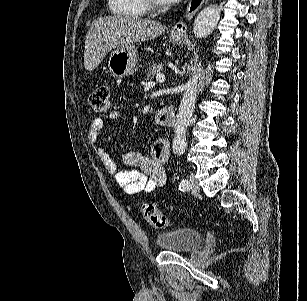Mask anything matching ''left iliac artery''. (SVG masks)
<instances>
[{"label":"left iliac artery","instance_id":"obj_1","mask_svg":"<svg viewBox=\"0 0 307 301\" xmlns=\"http://www.w3.org/2000/svg\"><path fill=\"white\" fill-rule=\"evenodd\" d=\"M190 182L187 179H183L179 184V189L185 191L188 189Z\"/></svg>","mask_w":307,"mask_h":301}]
</instances>
